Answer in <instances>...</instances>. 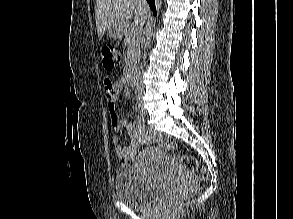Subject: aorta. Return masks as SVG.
<instances>
[{"mask_svg": "<svg viewBox=\"0 0 293 219\" xmlns=\"http://www.w3.org/2000/svg\"><path fill=\"white\" fill-rule=\"evenodd\" d=\"M155 6H156L157 13L159 15L162 9V0H155Z\"/></svg>", "mask_w": 293, "mask_h": 219, "instance_id": "aorta-1", "label": "aorta"}]
</instances>
